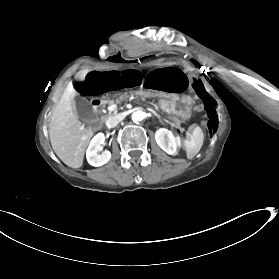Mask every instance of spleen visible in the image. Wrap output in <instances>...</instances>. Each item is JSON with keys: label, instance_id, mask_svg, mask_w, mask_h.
Instances as JSON below:
<instances>
[{"label": "spleen", "instance_id": "obj_1", "mask_svg": "<svg viewBox=\"0 0 279 279\" xmlns=\"http://www.w3.org/2000/svg\"><path fill=\"white\" fill-rule=\"evenodd\" d=\"M190 138L194 140V142L191 141L186 143V152H187V157L189 159L193 158L201 148V144H202L201 129L195 127L193 129V133L190 135Z\"/></svg>", "mask_w": 279, "mask_h": 279}]
</instances>
